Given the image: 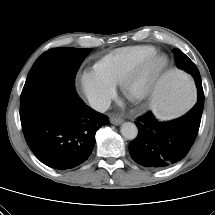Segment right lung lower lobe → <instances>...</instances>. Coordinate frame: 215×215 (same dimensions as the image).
<instances>
[{
    "instance_id": "1",
    "label": "right lung lower lobe",
    "mask_w": 215,
    "mask_h": 215,
    "mask_svg": "<svg viewBox=\"0 0 215 215\" xmlns=\"http://www.w3.org/2000/svg\"><path fill=\"white\" fill-rule=\"evenodd\" d=\"M108 123L107 116L78 97L74 86L42 104L22 130L29 148L42 163L66 170L88 159L96 131Z\"/></svg>"
}]
</instances>
